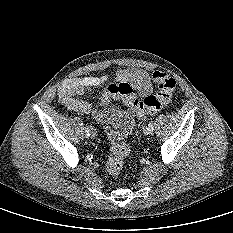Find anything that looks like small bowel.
<instances>
[{
  "label": "small bowel",
  "instance_id": "small-bowel-1",
  "mask_svg": "<svg viewBox=\"0 0 233 233\" xmlns=\"http://www.w3.org/2000/svg\"><path fill=\"white\" fill-rule=\"evenodd\" d=\"M122 85L137 91L141 97H146L153 91L152 78L145 70L120 68L116 71L114 81H108L107 75L68 79L59 88L58 96L69 110L87 114L93 112L96 106H104L112 99L122 98L120 91ZM95 88H102V93L95 105L77 98Z\"/></svg>",
  "mask_w": 233,
  "mask_h": 233
}]
</instances>
